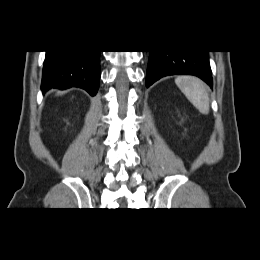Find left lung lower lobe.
Masks as SVG:
<instances>
[{
    "mask_svg": "<svg viewBox=\"0 0 260 260\" xmlns=\"http://www.w3.org/2000/svg\"><path fill=\"white\" fill-rule=\"evenodd\" d=\"M169 75H195L212 87L208 51H150L146 87Z\"/></svg>",
    "mask_w": 260,
    "mask_h": 260,
    "instance_id": "obj_1",
    "label": "left lung lower lobe"
}]
</instances>
